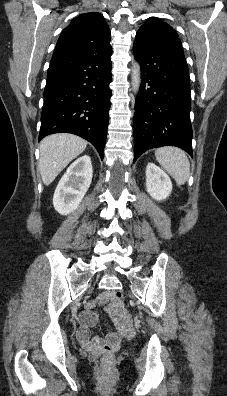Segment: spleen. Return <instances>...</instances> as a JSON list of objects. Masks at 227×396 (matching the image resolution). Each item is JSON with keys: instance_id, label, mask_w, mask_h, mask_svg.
<instances>
[{"instance_id": "spleen-1", "label": "spleen", "mask_w": 227, "mask_h": 396, "mask_svg": "<svg viewBox=\"0 0 227 396\" xmlns=\"http://www.w3.org/2000/svg\"><path fill=\"white\" fill-rule=\"evenodd\" d=\"M156 159L179 185H183L190 174V163L186 153L176 147L167 146L156 150Z\"/></svg>"}]
</instances>
